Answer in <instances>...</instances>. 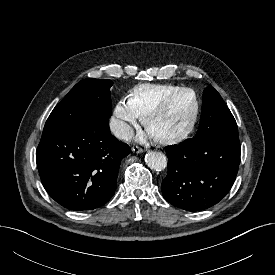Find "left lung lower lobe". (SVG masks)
Wrapping results in <instances>:
<instances>
[{"instance_id": "left-lung-lower-lobe-1", "label": "left lung lower lobe", "mask_w": 275, "mask_h": 275, "mask_svg": "<svg viewBox=\"0 0 275 275\" xmlns=\"http://www.w3.org/2000/svg\"><path fill=\"white\" fill-rule=\"evenodd\" d=\"M165 150L169 162L162 194L172 205L201 211L230 191L240 163L238 137H193Z\"/></svg>"}]
</instances>
